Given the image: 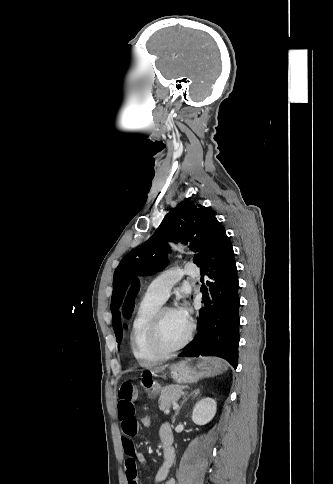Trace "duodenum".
<instances>
[{
  "mask_svg": "<svg viewBox=\"0 0 333 484\" xmlns=\"http://www.w3.org/2000/svg\"><path fill=\"white\" fill-rule=\"evenodd\" d=\"M168 445H164V455L167 456L168 455Z\"/></svg>",
  "mask_w": 333,
  "mask_h": 484,
  "instance_id": "obj_1",
  "label": "duodenum"
}]
</instances>
